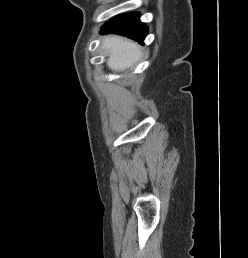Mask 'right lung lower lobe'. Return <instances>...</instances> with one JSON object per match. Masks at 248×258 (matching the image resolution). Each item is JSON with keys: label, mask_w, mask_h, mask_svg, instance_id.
<instances>
[{"label": "right lung lower lobe", "mask_w": 248, "mask_h": 258, "mask_svg": "<svg viewBox=\"0 0 248 258\" xmlns=\"http://www.w3.org/2000/svg\"><path fill=\"white\" fill-rule=\"evenodd\" d=\"M139 17L138 12L116 16L104 24L101 28V34L114 33L127 36L143 45L148 27L140 21Z\"/></svg>", "instance_id": "1"}]
</instances>
